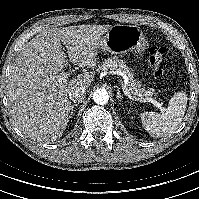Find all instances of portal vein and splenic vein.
Wrapping results in <instances>:
<instances>
[{
    "label": "portal vein and splenic vein",
    "mask_w": 199,
    "mask_h": 199,
    "mask_svg": "<svg viewBox=\"0 0 199 199\" xmlns=\"http://www.w3.org/2000/svg\"><path fill=\"white\" fill-rule=\"evenodd\" d=\"M68 76H70V74H66V73L62 72L61 75L58 76V80H64V78H68ZM124 83H125V84H122V89H123L124 94H125L130 100H135V101L137 100V101L143 102V98H142V97H141V98H136V97H133V96L130 94L129 90H128L127 87H126V84L128 83V80H127V79L124 81ZM144 100L147 101V102L152 103L155 107H157V108L160 109V110H163V109H164L163 105H162L161 103H159L158 101L154 100V99L145 98Z\"/></svg>",
    "instance_id": "obj_1"
}]
</instances>
